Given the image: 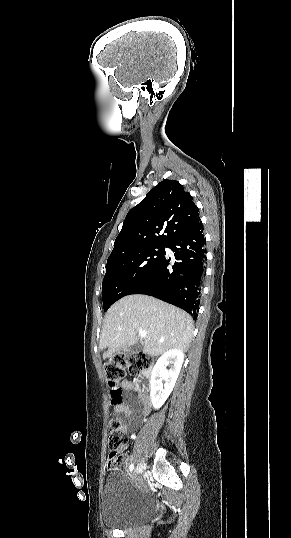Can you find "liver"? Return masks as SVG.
Masks as SVG:
<instances>
[{"label":"liver","instance_id":"6515ba94","mask_svg":"<svg viewBox=\"0 0 291 538\" xmlns=\"http://www.w3.org/2000/svg\"><path fill=\"white\" fill-rule=\"evenodd\" d=\"M146 331L143 352L159 356L170 349L186 352L192 341L193 319L183 310L147 295H129L107 311L99 347L108 348L103 358L126 350Z\"/></svg>","mask_w":291,"mask_h":538}]
</instances>
